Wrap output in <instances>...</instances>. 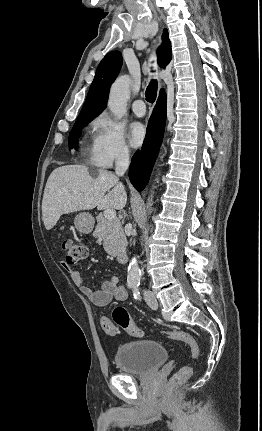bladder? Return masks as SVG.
<instances>
[{"instance_id": "bladder-1", "label": "bladder", "mask_w": 262, "mask_h": 431, "mask_svg": "<svg viewBox=\"0 0 262 431\" xmlns=\"http://www.w3.org/2000/svg\"><path fill=\"white\" fill-rule=\"evenodd\" d=\"M166 347L157 341L139 339L120 346L115 354L119 371L146 375L158 370L167 360Z\"/></svg>"}]
</instances>
